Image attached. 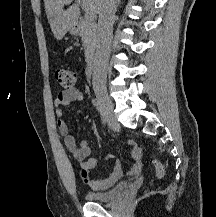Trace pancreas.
I'll use <instances>...</instances> for the list:
<instances>
[{
  "mask_svg": "<svg viewBox=\"0 0 216 217\" xmlns=\"http://www.w3.org/2000/svg\"><path fill=\"white\" fill-rule=\"evenodd\" d=\"M78 35L81 37L85 54L88 57L93 53L97 40V25L94 21L81 20L78 25Z\"/></svg>",
  "mask_w": 216,
  "mask_h": 217,
  "instance_id": "pancreas-1",
  "label": "pancreas"
}]
</instances>
